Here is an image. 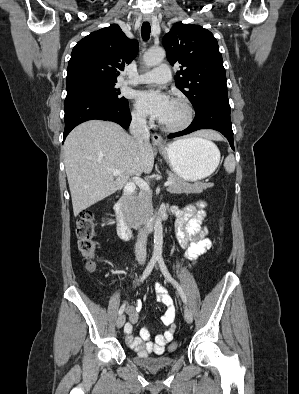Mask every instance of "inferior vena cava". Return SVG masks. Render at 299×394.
<instances>
[{
	"label": "inferior vena cava",
	"instance_id": "602c4592",
	"mask_svg": "<svg viewBox=\"0 0 299 394\" xmlns=\"http://www.w3.org/2000/svg\"><path fill=\"white\" fill-rule=\"evenodd\" d=\"M130 133L136 139L137 143L142 146L149 142L150 133L146 125V118L143 115L135 114L132 116L130 124ZM147 233L145 230H140L135 244V256L139 263H145L147 257L146 251Z\"/></svg>",
	"mask_w": 299,
	"mask_h": 394
}]
</instances>
